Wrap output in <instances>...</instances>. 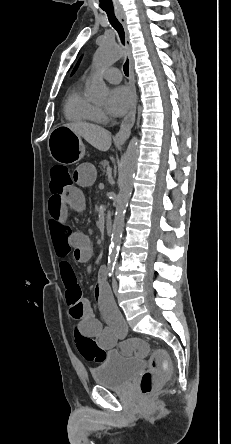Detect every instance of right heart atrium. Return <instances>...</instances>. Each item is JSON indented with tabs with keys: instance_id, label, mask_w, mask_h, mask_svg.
Returning <instances> with one entry per match:
<instances>
[{
	"instance_id": "right-heart-atrium-1",
	"label": "right heart atrium",
	"mask_w": 231,
	"mask_h": 444,
	"mask_svg": "<svg viewBox=\"0 0 231 444\" xmlns=\"http://www.w3.org/2000/svg\"><path fill=\"white\" fill-rule=\"evenodd\" d=\"M97 116L99 121H104L107 119L106 113L101 108H97Z\"/></svg>"
}]
</instances>
